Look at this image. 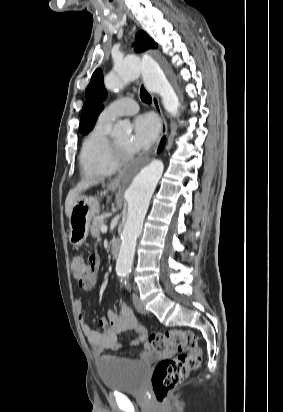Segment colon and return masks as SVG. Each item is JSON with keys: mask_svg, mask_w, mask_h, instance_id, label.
Returning <instances> with one entry per match:
<instances>
[{"mask_svg": "<svg viewBox=\"0 0 283 412\" xmlns=\"http://www.w3.org/2000/svg\"><path fill=\"white\" fill-rule=\"evenodd\" d=\"M98 268L95 255L86 261L74 257L70 262L73 278L82 282ZM148 351L162 353L170 348L178 351L177 356L165 358L156 366L152 380V390L159 403L165 402L170 391L177 387L188 374L197 369L201 363L202 353L197 345V336L189 330L171 329L161 334L151 335L145 344Z\"/></svg>", "mask_w": 283, "mask_h": 412, "instance_id": "1", "label": "colon"}]
</instances>
